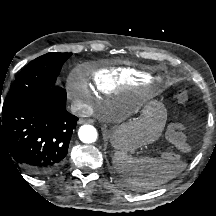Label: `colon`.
Listing matches in <instances>:
<instances>
[{"instance_id": "1", "label": "colon", "mask_w": 216, "mask_h": 216, "mask_svg": "<svg viewBox=\"0 0 216 216\" xmlns=\"http://www.w3.org/2000/svg\"><path fill=\"white\" fill-rule=\"evenodd\" d=\"M190 99V93L187 88H181L175 93V100L178 104H186Z\"/></svg>"}]
</instances>
